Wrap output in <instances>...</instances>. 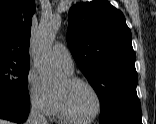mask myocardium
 Segmentation results:
<instances>
[{
	"label": "myocardium",
	"instance_id": "1",
	"mask_svg": "<svg viewBox=\"0 0 156 124\" xmlns=\"http://www.w3.org/2000/svg\"><path fill=\"white\" fill-rule=\"evenodd\" d=\"M65 80L68 84H82V85L87 86L96 97L97 109H96V112L88 118L76 117L67 108L62 93L59 92L58 90H54L56 104H57V108H58L60 116L69 122L80 123V124L90 123V122H93L94 120H96L102 114L104 105H103L102 96H101L100 92L98 91V89L95 87V85L84 78L74 76L71 74H67L65 76Z\"/></svg>",
	"mask_w": 156,
	"mask_h": 124
}]
</instances>
